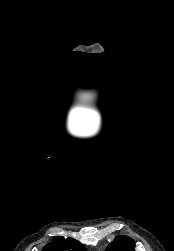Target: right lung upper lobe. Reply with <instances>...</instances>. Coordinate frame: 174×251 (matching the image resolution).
I'll return each mask as SVG.
<instances>
[{
  "mask_svg": "<svg viewBox=\"0 0 174 251\" xmlns=\"http://www.w3.org/2000/svg\"><path fill=\"white\" fill-rule=\"evenodd\" d=\"M42 251H86L84 246L75 239L55 237Z\"/></svg>",
  "mask_w": 174,
  "mask_h": 251,
  "instance_id": "cb5924a9",
  "label": "right lung upper lobe"
}]
</instances>
